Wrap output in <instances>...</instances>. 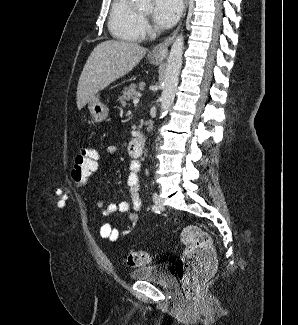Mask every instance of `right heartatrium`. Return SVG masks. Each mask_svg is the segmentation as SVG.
Instances as JSON below:
<instances>
[{"label":"right heart atrium","instance_id":"d8ad5b80","mask_svg":"<svg viewBox=\"0 0 298 325\" xmlns=\"http://www.w3.org/2000/svg\"><path fill=\"white\" fill-rule=\"evenodd\" d=\"M142 26L145 27V28H147L148 25H147V23L144 21V22L142 23Z\"/></svg>","mask_w":298,"mask_h":325}]
</instances>
